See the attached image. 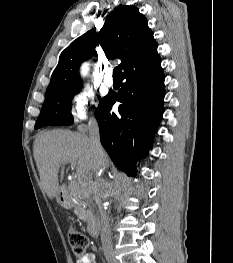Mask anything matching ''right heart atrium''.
<instances>
[{"mask_svg": "<svg viewBox=\"0 0 233 263\" xmlns=\"http://www.w3.org/2000/svg\"><path fill=\"white\" fill-rule=\"evenodd\" d=\"M95 104V94L90 88H78L71 97L70 118L73 123L89 119L90 108Z\"/></svg>", "mask_w": 233, "mask_h": 263, "instance_id": "d8ad5b80", "label": "right heart atrium"}]
</instances>
